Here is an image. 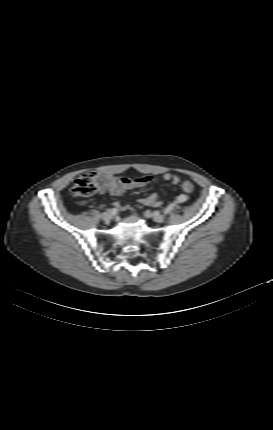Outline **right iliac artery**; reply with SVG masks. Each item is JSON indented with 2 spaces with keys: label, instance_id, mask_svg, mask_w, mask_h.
I'll return each mask as SVG.
<instances>
[{
  "label": "right iliac artery",
  "instance_id": "82829eb1",
  "mask_svg": "<svg viewBox=\"0 0 273 430\" xmlns=\"http://www.w3.org/2000/svg\"><path fill=\"white\" fill-rule=\"evenodd\" d=\"M111 211H112L113 215H115L117 213V209L116 208H112Z\"/></svg>",
  "mask_w": 273,
  "mask_h": 430
}]
</instances>
